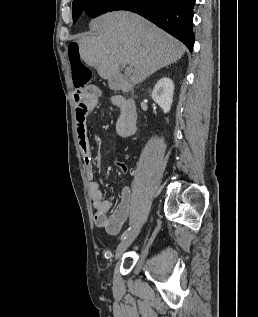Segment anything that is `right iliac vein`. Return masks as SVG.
Wrapping results in <instances>:
<instances>
[{"label":"right iliac vein","instance_id":"obj_1","mask_svg":"<svg viewBox=\"0 0 258 317\" xmlns=\"http://www.w3.org/2000/svg\"><path fill=\"white\" fill-rule=\"evenodd\" d=\"M138 227L140 228L141 226L139 225ZM139 228H132L130 233L127 234L126 239H123L119 243L115 250L116 260L118 259L117 257H121V255L124 254L125 250L127 249V246L133 243L135 237L138 236V231L140 230Z\"/></svg>","mask_w":258,"mask_h":317}]
</instances>
